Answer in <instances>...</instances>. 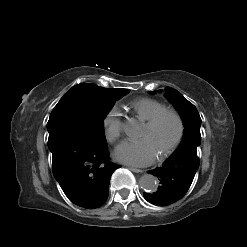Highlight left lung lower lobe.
Segmentation results:
<instances>
[{
  "mask_svg": "<svg viewBox=\"0 0 247 247\" xmlns=\"http://www.w3.org/2000/svg\"><path fill=\"white\" fill-rule=\"evenodd\" d=\"M198 167L197 147L180 146L164 165L149 171L158 177L160 186L155 193H144V198L157 206H167L180 200L188 191Z\"/></svg>",
  "mask_w": 247,
  "mask_h": 247,
  "instance_id": "obj_1",
  "label": "left lung lower lobe"
}]
</instances>
